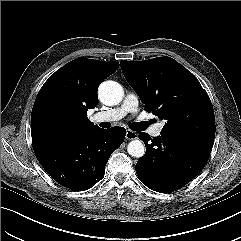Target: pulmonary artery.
I'll list each match as a JSON object with an SVG mask.
<instances>
[{
  "mask_svg": "<svg viewBox=\"0 0 241 241\" xmlns=\"http://www.w3.org/2000/svg\"><path fill=\"white\" fill-rule=\"evenodd\" d=\"M138 105L139 101L137 95L128 93L119 107L98 112L93 116V120L97 122L117 121L129 113H136L138 111ZM161 130L162 124H156L151 127L150 133L152 136L157 137L161 134Z\"/></svg>",
  "mask_w": 241,
  "mask_h": 241,
  "instance_id": "pulmonary-artery-1",
  "label": "pulmonary artery"
}]
</instances>
